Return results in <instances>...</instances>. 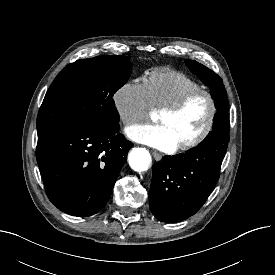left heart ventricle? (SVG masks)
<instances>
[{
  "label": "left heart ventricle",
  "mask_w": 275,
  "mask_h": 275,
  "mask_svg": "<svg viewBox=\"0 0 275 275\" xmlns=\"http://www.w3.org/2000/svg\"><path fill=\"white\" fill-rule=\"evenodd\" d=\"M209 114V103L205 96H197L179 113H158L156 119L166 125L178 144L197 136L204 128Z\"/></svg>",
  "instance_id": "obj_1"
}]
</instances>
